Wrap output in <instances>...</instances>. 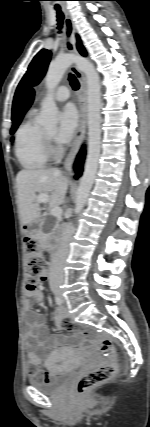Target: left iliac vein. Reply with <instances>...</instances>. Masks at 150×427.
<instances>
[{
	"instance_id": "left-iliac-vein-1",
	"label": "left iliac vein",
	"mask_w": 150,
	"mask_h": 427,
	"mask_svg": "<svg viewBox=\"0 0 150 427\" xmlns=\"http://www.w3.org/2000/svg\"><path fill=\"white\" fill-rule=\"evenodd\" d=\"M60 298H61L62 301H64V298L61 295H60Z\"/></svg>"
}]
</instances>
